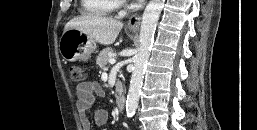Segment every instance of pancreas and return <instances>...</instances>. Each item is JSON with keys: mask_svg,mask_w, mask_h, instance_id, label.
<instances>
[{"mask_svg": "<svg viewBox=\"0 0 257 130\" xmlns=\"http://www.w3.org/2000/svg\"><path fill=\"white\" fill-rule=\"evenodd\" d=\"M114 54V50L112 48H105L103 49L100 54L97 57L96 63L100 68H105L109 62V60L112 58V55ZM117 91L121 88V83L117 82L116 84Z\"/></svg>", "mask_w": 257, "mask_h": 130, "instance_id": "obj_1", "label": "pancreas"}]
</instances>
